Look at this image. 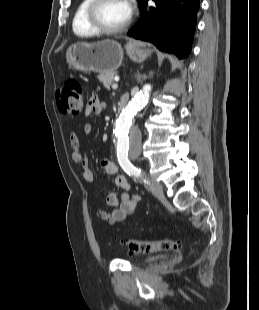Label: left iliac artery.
Here are the masks:
<instances>
[{"instance_id":"obj_1","label":"left iliac artery","mask_w":259,"mask_h":310,"mask_svg":"<svg viewBox=\"0 0 259 310\" xmlns=\"http://www.w3.org/2000/svg\"><path fill=\"white\" fill-rule=\"evenodd\" d=\"M121 167L123 170L130 176L137 177L141 179L142 181L146 182V175L145 172L142 171L140 168L134 167L130 161H123L120 162ZM148 183V181H147Z\"/></svg>"}]
</instances>
